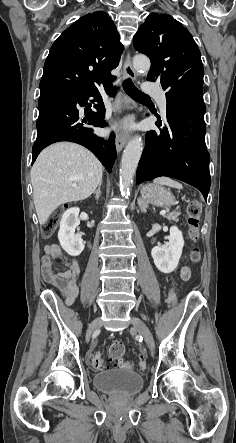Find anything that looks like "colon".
I'll return each mask as SVG.
<instances>
[{
  "label": "colon",
  "instance_id": "obj_1",
  "mask_svg": "<svg viewBox=\"0 0 236 443\" xmlns=\"http://www.w3.org/2000/svg\"><path fill=\"white\" fill-rule=\"evenodd\" d=\"M202 206L198 200H191L187 206V214H188V225H189V238L192 241H197L200 236L199 232V218L201 215ZM59 223V215L53 214L51 215L45 223L42 225V235L45 238H48L53 235L55 230L57 229ZM201 259V253L198 248H193L190 252V260L193 263H198ZM169 299L172 304L175 303V293L171 291L169 294ZM126 345L122 340H116L111 343L109 347V355L111 359L114 361L115 366H119L124 369H131L134 366V362L132 360H124L123 356L125 354ZM91 364L93 368L97 370H104L108 368L104 358L100 354L93 355L91 359ZM139 368L141 371L146 370L147 363L145 360H141L139 362Z\"/></svg>",
  "mask_w": 236,
  "mask_h": 443
}]
</instances>
